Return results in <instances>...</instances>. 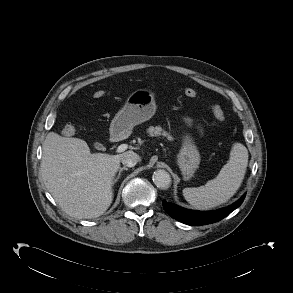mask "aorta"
Returning <instances> with one entry per match:
<instances>
[{
    "instance_id": "1",
    "label": "aorta",
    "mask_w": 293,
    "mask_h": 293,
    "mask_svg": "<svg viewBox=\"0 0 293 293\" xmlns=\"http://www.w3.org/2000/svg\"><path fill=\"white\" fill-rule=\"evenodd\" d=\"M153 182L158 188L167 189L171 184L170 174L163 169H158L153 173Z\"/></svg>"
}]
</instances>
